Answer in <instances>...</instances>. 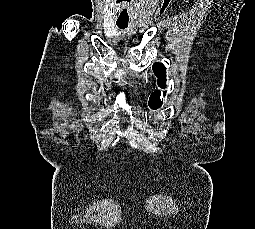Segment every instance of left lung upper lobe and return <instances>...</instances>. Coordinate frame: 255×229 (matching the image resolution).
<instances>
[{"label":"left lung upper lobe","instance_id":"obj_1","mask_svg":"<svg viewBox=\"0 0 255 229\" xmlns=\"http://www.w3.org/2000/svg\"><path fill=\"white\" fill-rule=\"evenodd\" d=\"M152 69L154 71V74L158 77V86L162 89L166 88V68L162 63H154L152 66ZM163 94H166V91L163 92ZM161 92L155 91L151 94L149 98V107L151 109H158L162 106V101L160 100Z\"/></svg>","mask_w":255,"mask_h":229}]
</instances>
